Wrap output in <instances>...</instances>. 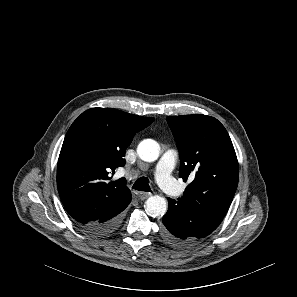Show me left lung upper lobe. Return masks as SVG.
<instances>
[{"instance_id": "left-lung-upper-lobe-1", "label": "left lung upper lobe", "mask_w": 297, "mask_h": 297, "mask_svg": "<svg viewBox=\"0 0 297 297\" xmlns=\"http://www.w3.org/2000/svg\"><path fill=\"white\" fill-rule=\"evenodd\" d=\"M181 156L180 177L193 181L178 198L186 206L190 235L212 233L233 200L239 179L236 153L224 126L207 115L167 117Z\"/></svg>"}]
</instances>
